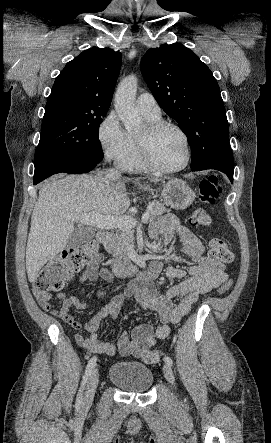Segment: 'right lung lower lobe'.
Returning <instances> with one entry per match:
<instances>
[{
  "instance_id": "98d812e1",
  "label": "right lung lower lobe",
  "mask_w": 271,
  "mask_h": 443,
  "mask_svg": "<svg viewBox=\"0 0 271 443\" xmlns=\"http://www.w3.org/2000/svg\"><path fill=\"white\" fill-rule=\"evenodd\" d=\"M102 160V159H101ZM93 156H52L35 165L33 184L36 185L47 177L65 172L70 174H80L91 171L101 161Z\"/></svg>"
}]
</instances>
